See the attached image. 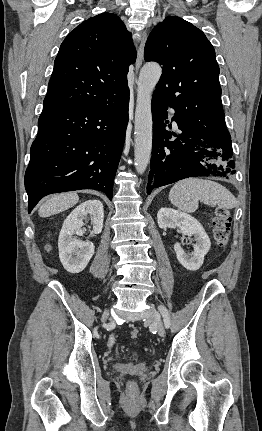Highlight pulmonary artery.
<instances>
[{"mask_svg":"<svg viewBox=\"0 0 262 431\" xmlns=\"http://www.w3.org/2000/svg\"><path fill=\"white\" fill-rule=\"evenodd\" d=\"M170 112H171V113H173V110H170ZM173 126H174L175 128H177V123H176L175 121H173Z\"/></svg>","mask_w":262,"mask_h":431,"instance_id":"pulmonary-artery-1","label":"pulmonary artery"}]
</instances>
